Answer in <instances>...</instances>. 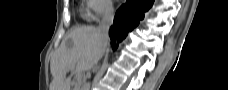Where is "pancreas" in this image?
<instances>
[{
  "label": "pancreas",
  "mask_w": 228,
  "mask_h": 90,
  "mask_svg": "<svg viewBox=\"0 0 228 90\" xmlns=\"http://www.w3.org/2000/svg\"><path fill=\"white\" fill-rule=\"evenodd\" d=\"M81 84H82L81 80L78 79L75 84V90H81Z\"/></svg>",
  "instance_id": "pancreas-1"
}]
</instances>
